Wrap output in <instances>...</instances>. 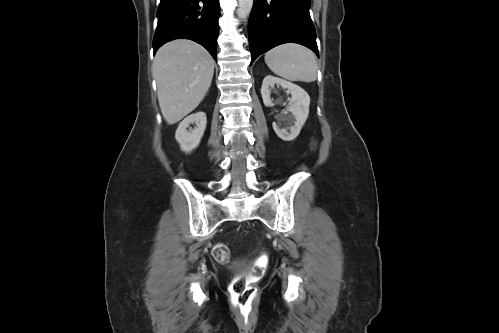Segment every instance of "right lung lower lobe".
<instances>
[{"mask_svg": "<svg viewBox=\"0 0 499 333\" xmlns=\"http://www.w3.org/2000/svg\"><path fill=\"white\" fill-rule=\"evenodd\" d=\"M219 0H161L154 53L166 42L186 38L203 45L216 59Z\"/></svg>", "mask_w": 499, "mask_h": 333, "instance_id": "98d812e1", "label": "right lung lower lobe"}]
</instances>
